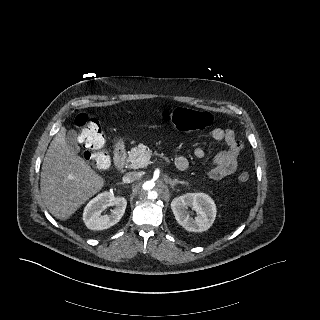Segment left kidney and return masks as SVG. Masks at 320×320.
<instances>
[{"mask_svg": "<svg viewBox=\"0 0 320 320\" xmlns=\"http://www.w3.org/2000/svg\"><path fill=\"white\" fill-rule=\"evenodd\" d=\"M191 208L197 213L193 218L188 211ZM171 209L176 221L189 232L208 230L216 217V205L212 198L204 193H187L174 198Z\"/></svg>", "mask_w": 320, "mask_h": 320, "instance_id": "5707ae66", "label": "left kidney"}]
</instances>
